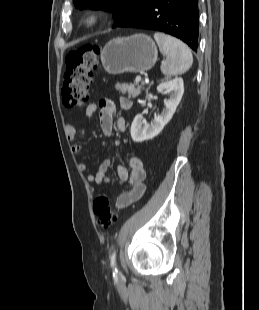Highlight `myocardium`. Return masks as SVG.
<instances>
[{
	"mask_svg": "<svg viewBox=\"0 0 259 310\" xmlns=\"http://www.w3.org/2000/svg\"><path fill=\"white\" fill-rule=\"evenodd\" d=\"M101 22V15L96 11L89 12L83 18V26L86 29H94L96 28Z\"/></svg>",
	"mask_w": 259,
	"mask_h": 310,
	"instance_id": "myocardium-1",
	"label": "myocardium"
}]
</instances>
